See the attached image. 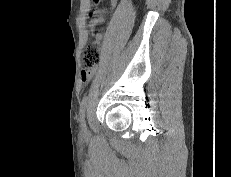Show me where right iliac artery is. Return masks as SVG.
<instances>
[{"mask_svg":"<svg viewBox=\"0 0 231 177\" xmlns=\"http://www.w3.org/2000/svg\"><path fill=\"white\" fill-rule=\"evenodd\" d=\"M87 103H88V96H84L80 104V118L82 122L84 121V115H85Z\"/></svg>","mask_w":231,"mask_h":177,"instance_id":"82829eb1","label":"right iliac artery"}]
</instances>
